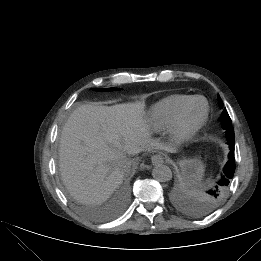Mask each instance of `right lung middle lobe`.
<instances>
[{
	"instance_id": "right-lung-middle-lobe-1",
	"label": "right lung middle lobe",
	"mask_w": 261,
	"mask_h": 261,
	"mask_svg": "<svg viewBox=\"0 0 261 261\" xmlns=\"http://www.w3.org/2000/svg\"><path fill=\"white\" fill-rule=\"evenodd\" d=\"M94 90L105 92V91H115V90H120V89H118V88H108V89H94Z\"/></svg>"
}]
</instances>
